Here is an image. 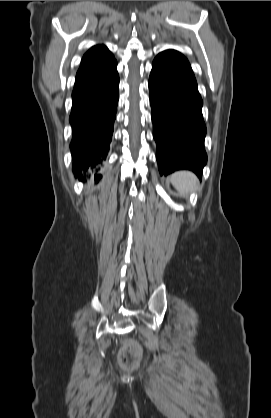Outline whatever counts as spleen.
<instances>
[{
  "mask_svg": "<svg viewBox=\"0 0 271 418\" xmlns=\"http://www.w3.org/2000/svg\"><path fill=\"white\" fill-rule=\"evenodd\" d=\"M170 181L175 189L184 197L198 189L199 181L190 171H178L170 176Z\"/></svg>",
  "mask_w": 271,
  "mask_h": 418,
  "instance_id": "obj_1",
  "label": "spleen"
}]
</instances>
